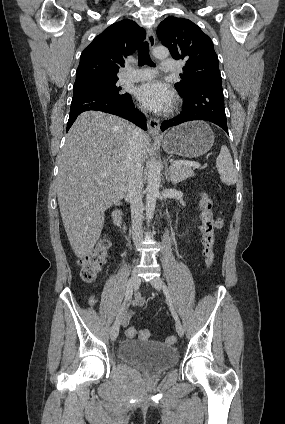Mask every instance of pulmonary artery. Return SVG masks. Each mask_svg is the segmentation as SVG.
Returning a JSON list of instances; mask_svg holds the SVG:
<instances>
[{
  "label": "pulmonary artery",
  "mask_w": 285,
  "mask_h": 424,
  "mask_svg": "<svg viewBox=\"0 0 285 424\" xmlns=\"http://www.w3.org/2000/svg\"><path fill=\"white\" fill-rule=\"evenodd\" d=\"M162 71L165 73H171L177 69V62L172 59H167L162 62ZM155 76V70L151 68H143L134 70L125 74L122 77V82H138L144 80H150Z\"/></svg>",
  "instance_id": "pulmonary-artery-1"
}]
</instances>
